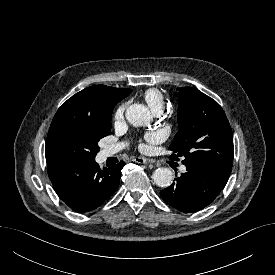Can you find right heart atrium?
<instances>
[{"label":"right heart atrium","mask_w":275,"mask_h":275,"mask_svg":"<svg viewBox=\"0 0 275 275\" xmlns=\"http://www.w3.org/2000/svg\"><path fill=\"white\" fill-rule=\"evenodd\" d=\"M125 107H126V105L123 104V105H121V106L117 109V111H116V113H115V121H116V123L122 121L123 116H124Z\"/></svg>","instance_id":"obj_1"}]
</instances>
